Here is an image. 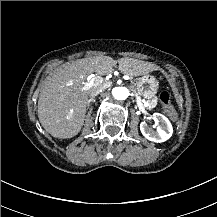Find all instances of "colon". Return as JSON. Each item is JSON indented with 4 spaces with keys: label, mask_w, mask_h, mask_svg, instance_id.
<instances>
[{
    "label": "colon",
    "mask_w": 217,
    "mask_h": 217,
    "mask_svg": "<svg viewBox=\"0 0 217 217\" xmlns=\"http://www.w3.org/2000/svg\"><path fill=\"white\" fill-rule=\"evenodd\" d=\"M159 101L163 108L169 109L171 106V96L166 89V87L162 86L159 92Z\"/></svg>",
    "instance_id": "5ec220e1"
}]
</instances>
